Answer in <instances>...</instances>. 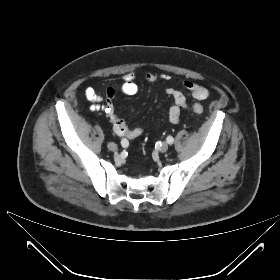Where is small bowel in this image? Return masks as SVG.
Listing matches in <instances>:
<instances>
[{
  "label": "small bowel",
  "mask_w": 280,
  "mask_h": 280,
  "mask_svg": "<svg viewBox=\"0 0 280 280\" xmlns=\"http://www.w3.org/2000/svg\"><path fill=\"white\" fill-rule=\"evenodd\" d=\"M135 74L128 73L121 77V91L126 95H134L138 91V86L135 82ZM170 77L166 74L148 73L145 80L149 83H161L167 81ZM181 85L186 89L191 96L196 100H204L208 97V90L204 86L192 81H182ZM166 95L173 99V104L169 107L168 117L170 122L177 123L180 119V111L189 108L185 95L172 87L164 89ZM86 99L93 103V110H101L110 120L114 132L121 138L134 139L141 135L142 129L139 127L131 128L124 120L119 117L114 110L113 99L116 95L114 87L106 89L105 98L101 97L93 87H87L84 90ZM104 102V103H102Z\"/></svg>",
  "instance_id": "obj_1"
}]
</instances>
